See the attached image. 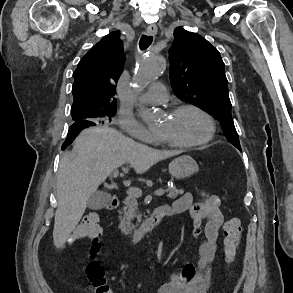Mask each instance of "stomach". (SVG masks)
<instances>
[{"mask_svg": "<svg viewBox=\"0 0 293 293\" xmlns=\"http://www.w3.org/2000/svg\"><path fill=\"white\" fill-rule=\"evenodd\" d=\"M198 171V164L188 155L174 159L169 164V173L175 179H185Z\"/></svg>", "mask_w": 293, "mask_h": 293, "instance_id": "stomach-1", "label": "stomach"}]
</instances>
